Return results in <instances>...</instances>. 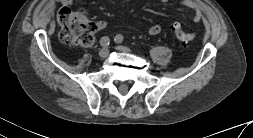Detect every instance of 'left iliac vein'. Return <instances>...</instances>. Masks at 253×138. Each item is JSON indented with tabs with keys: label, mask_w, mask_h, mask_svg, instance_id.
<instances>
[{
	"label": "left iliac vein",
	"mask_w": 253,
	"mask_h": 138,
	"mask_svg": "<svg viewBox=\"0 0 253 138\" xmlns=\"http://www.w3.org/2000/svg\"><path fill=\"white\" fill-rule=\"evenodd\" d=\"M116 49L122 52H130V49L128 47L122 45L116 46Z\"/></svg>",
	"instance_id": "left-iliac-vein-1"
}]
</instances>
